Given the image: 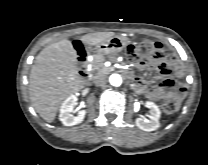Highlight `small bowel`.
Listing matches in <instances>:
<instances>
[{
    "mask_svg": "<svg viewBox=\"0 0 208 165\" xmlns=\"http://www.w3.org/2000/svg\"><path fill=\"white\" fill-rule=\"evenodd\" d=\"M181 71L179 55L175 52H168L154 70L153 78L156 88L147 86L142 78H135V85L150 100L166 99L172 97L174 92L179 94L184 91V84L177 79Z\"/></svg>",
    "mask_w": 208,
    "mask_h": 165,
    "instance_id": "1",
    "label": "small bowel"
}]
</instances>
